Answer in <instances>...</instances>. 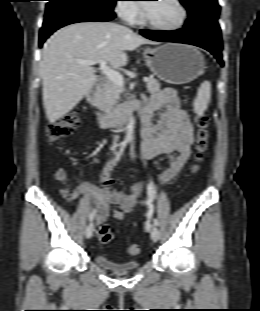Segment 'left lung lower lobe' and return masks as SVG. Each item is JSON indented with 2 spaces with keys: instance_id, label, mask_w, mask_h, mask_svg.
I'll list each match as a JSON object with an SVG mask.
<instances>
[{
  "instance_id": "left-lung-lower-lobe-1",
  "label": "left lung lower lobe",
  "mask_w": 260,
  "mask_h": 311,
  "mask_svg": "<svg viewBox=\"0 0 260 311\" xmlns=\"http://www.w3.org/2000/svg\"><path fill=\"white\" fill-rule=\"evenodd\" d=\"M140 33L155 41L177 42L195 45L210 51L221 64L222 40L221 32L203 27H187L175 31L141 30Z\"/></svg>"
}]
</instances>
